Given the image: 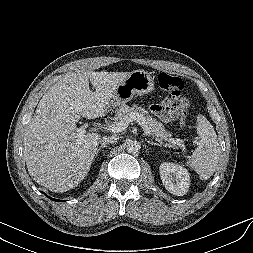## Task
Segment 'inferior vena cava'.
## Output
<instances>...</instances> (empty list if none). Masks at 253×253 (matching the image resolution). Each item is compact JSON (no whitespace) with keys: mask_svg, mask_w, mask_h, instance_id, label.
Here are the masks:
<instances>
[{"mask_svg":"<svg viewBox=\"0 0 253 253\" xmlns=\"http://www.w3.org/2000/svg\"><path fill=\"white\" fill-rule=\"evenodd\" d=\"M117 137L116 136H105L102 138H99V143H101L102 145H106L109 143H115L117 141Z\"/></svg>","mask_w":253,"mask_h":253,"instance_id":"obj_1","label":"inferior vena cava"}]
</instances>
